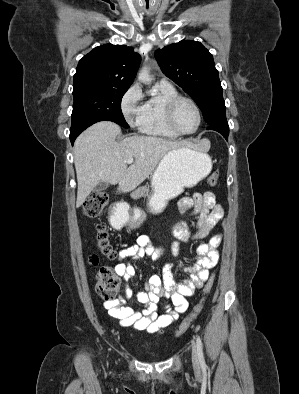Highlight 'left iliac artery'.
Returning <instances> with one entry per match:
<instances>
[{"instance_id":"obj_1","label":"left iliac artery","mask_w":299,"mask_h":394,"mask_svg":"<svg viewBox=\"0 0 299 394\" xmlns=\"http://www.w3.org/2000/svg\"><path fill=\"white\" fill-rule=\"evenodd\" d=\"M196 344H197V351H198L199 362L201 364V367L203 369H205L206 364H205V359H204V355H203L202 341H201V338L199 336L196 339Z\"/></svg>"}]
</instances>
